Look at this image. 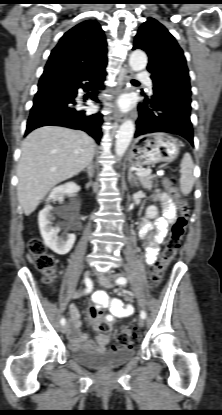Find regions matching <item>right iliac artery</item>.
<instances>
[{
  "instance_id": "82829eb1",
  "label": "right iliac artery",
  "mask_w": 222,
  "mask_h": 415,
  "mask_svg": "<svg viewBox=\"0 0 222 415\" xmlns=\"http://www.w3.org/2000/svg\"><path fill=\"white\" fill-rule=\"evenodd\" d=\"M85 284H86V290H85V293H89V292H91L92 287H93L92 281H91L89 278H86V279H85ZM76 296H77V295H75V297H76ZM60 323H61L62 325H65V323H66L65 318H62V319H61V321H60Z\"/></svg>"
}]
</instances>
